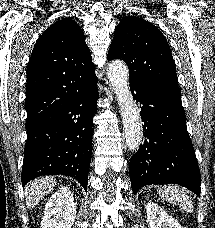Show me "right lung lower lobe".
Returning <instances> with one entry per match:
<instances>
[{
    "mask_svg": "<svg viewBox=\"0 0 215 228\" xmlns=\"http://www.w3.org/2000/svg\"><path fill=\"white\" fill-rule=\"evenodd\" d=\"M97 77L75 83L68 98L26 122L27 140L21 181L43 175L74 177L87 190L91 162L92 117L97 112Z\"/></svg>",
    "mask_w": 215,
    "mask_h": 228,
    "instance_id": "obj_1",
    "label": "right lung lower lobe"
}]
</instances>
